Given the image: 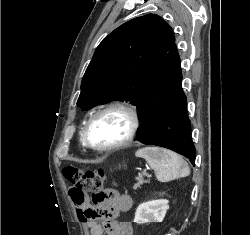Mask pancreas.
<instances>
[{"instance_id":"pancreas-1","label":"pancreas","mask_w":250,"mask_h":235,"mask_svg":"<svg viewBox=\"0 0 250 235\" xmlns=\"http://www.w3.org/2000/svg\"><path fill=\"white\" fill-rule=\"evenodd\" d=\"M137 183L136 184H134V186H133V189L134 190H136V189H138V188H141V185L143 184V183H147V181H145L142 177H138L137 178Z\"/></svg>"}]
</instances>
